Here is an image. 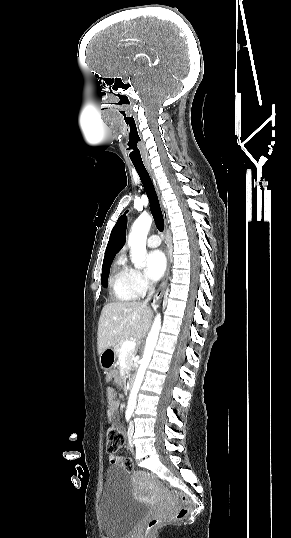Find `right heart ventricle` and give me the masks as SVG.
<instances>
[{
    "label": "right heart ventricle",
    "instance_id": "e07e8e85",
    "mask_svg": "<svg viewBox=\"0 0 291 538\" xmlns=\"http://www.w3.org/2000/svg\"><path fill=\"white\" fill-rule=\"evenodd\" d=\"M110 288L114 299L119 302L133 301L138 297L132 283L130 268L121 258L112 266Z\"/></svg>",
    "mask_w": 291,
    "mask_h": 538
}]
</instances>
